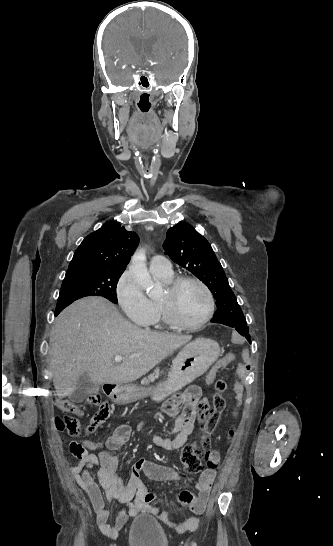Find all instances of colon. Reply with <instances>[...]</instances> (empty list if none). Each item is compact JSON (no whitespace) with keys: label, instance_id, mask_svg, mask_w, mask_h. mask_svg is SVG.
<instances>
[{"label":"colon","instance_id":"1","mask_svg":"<svg viewBox=\"0 0 333 546\" xmlns=\"http://www.w3.org/2000/svg\"><path fill=\"white\" fill-rule=\"evenodd\" d=\"M232 386L235 390V397L242 399L245 395V387L241 380L233 381ZM227 388L226 382L218 379L215 383V389L218 394L214 395L211 404L204 399L197 401V411L200 423V436L196 442L185 445L181 450V461L184 465L186 473L193 475L203 469L201 456H207L210 449L211 434L214 430L218 419L224 410L226 404L220 393ZM87 403L92 406H99L98 411L93 415L89 424L82 428L79 420L72 414L81 415V410L76 403L70 399H61L58 401V407L61 411L68 413L63 417L55 418V426L59 431H66L71 436L79 437L95 432L108 419L111 407L108 402L101 401L99 394H90L87 397ZM234 431H229V437H233ZM208 468L213 469L217 466V462L208 460ZM178 501L182 506H189L194 503V495L187 490L181 491L178 494Z\"/></svg>","mask_w":333,"mask_h":546}]
</instances>
